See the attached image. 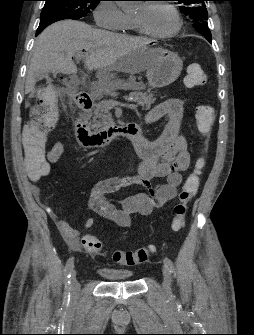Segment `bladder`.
Listing matches in <instances>:
<instances>
[{
    "label": "bladder",
    "instance_id": "31cf9c89",
    "mask_svg": "<svg viewBox=\"0 0 254 335\" xmlns=\"http://www.w3.org/2000/svg\"><path fill=\"white\" fill-rule=\"evenodd\" d=\"M98 273L106 281H128L133 277V273L129 270L110 267H101L98 269Z\"/></svg>",
    "mask_w": 254,
    "mask_h": 335
}]
</instances>
